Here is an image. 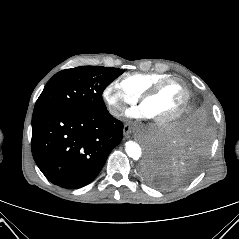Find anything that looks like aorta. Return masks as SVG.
<instances>
[{"instance_id": "aorta-1", "label": "aorta", "mask_w": 239, "mask_h": 239, "mask_svg": "<svg viewBox=\"0 0 239 239\" xmlns=\"http://www.w3.org/2000/svg\"><path fill=\"white\" fill-rule=\"evenodd\" d=\"M125 151L130 158L135 160H138L142 155V150L140 145L134 141L126 142Z\"/></svg>"}]
</instances>
